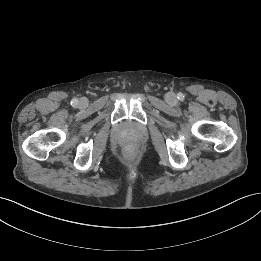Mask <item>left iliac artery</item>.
Instances as JSON below:
<instances>
[{"label": "left iliac artery", "mask_w": 261, "mask_h": 261, "mask_svg": "<svg viewBox=\"0 0 261 261\" xmlns=\"http://www.w3.org/2000/svg\"><path fill=\"white\" fill-rule=\"evenodd\" d=\"M183 98H184V95H183L182 93H179V94H178V99H181V100H182Z\"/></svg>", "instance_id": "obj_1"}]
</instances>
